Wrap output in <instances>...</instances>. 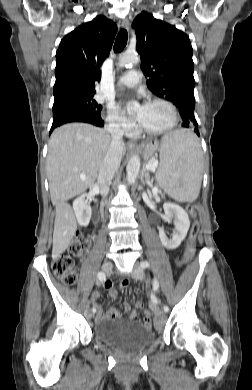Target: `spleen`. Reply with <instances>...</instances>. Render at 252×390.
<instances>
[{
	"mask_svg": "<svg viewBox=\"0 0 252 390\" xmlns=\"http://www.w3.org/2000/svg\"><path fill=\"white\" fill-rule=\"evenodd\" d=\"M159 186L178 202L197 199L202 181L203 156L196 136L177 130L164 136L160 148Z\"/></svg>",
	"mask_w": 252,
	"mask_h": 390,
	"instance_id": "3e777b00",
	"label": "spleen"
}]
</instances>
